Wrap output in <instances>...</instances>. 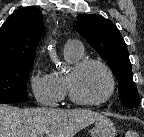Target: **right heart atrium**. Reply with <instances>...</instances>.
Returning <instances> with one entry per match:
<instances>
[{"mask_svg": "<svg viewBox=\"0 0 144 137\" xmlns=\"http://www.w3.org/2000/svg\"><path fill=\"white\" fill-rule=\"evenodd\" d=\"M28 85L38 104L48 107L55 106L60 101L52 74L40 66H36L30 73Z\"/></svg>", "mask_w": 144, "mask_h": 137, "instance_id": "right-heart-atrium-1", "label": "right heart atrium"}]
</instances>
